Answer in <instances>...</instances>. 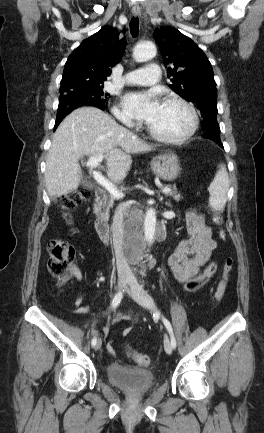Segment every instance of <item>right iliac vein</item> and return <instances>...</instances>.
<instances>
[{
  "mask_svg": "<svg viewBox=\"0 0 264 433\" xmlns=\"http://www.w3.org/2000/svg\"><path fill=\"white\" fill-rule=\"evenodd\" d=\"M127 283H129V279L124 278V277L119 278V281H118L119 290H122L127 285ZM101 345H102V341H101V339H98V341L96 342V344L94 346V349L96 351L99 350L101 348Z\"/></svg>",
  "mask_w": 264,
  "mask_h": 433,
  "instance_id": "63e3f726",
  "label": "right iliac vein"
}]
</instances>
